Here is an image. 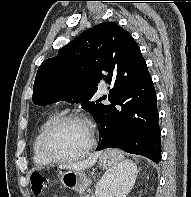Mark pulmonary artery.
<instances>
[{
	"instance_id": "1",
	"label": "pulmonary artery",
	"mask_w": 191,
	"mask_h": 197,
	"mask_svg": "<svg viewBox=\"0 0 191 197\" xmlns=\"http://www.w3.org/2000/svg\"><path fill=\"white\" fill-rule=\"evenodd\" d=\"M99 90L102 92V93H105L108 91V85L105 81H102L99 85Z\"/></svg>"
}]
</instances>
